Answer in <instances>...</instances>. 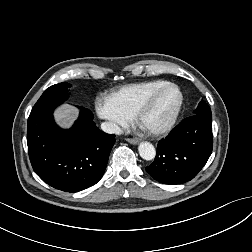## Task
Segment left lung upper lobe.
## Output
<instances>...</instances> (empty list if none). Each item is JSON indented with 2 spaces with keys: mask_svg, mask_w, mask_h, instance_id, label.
<instances>
[{
  "mask_svg": "<svg viewBox=\"0 0 252 252\" xmlns=\"http://www.w3.org/2000/svg\"><path fill=\"white\" fill-rule=\"evenodd\" d=\"M194 115H207L212 116L211 110L205 101H201L194 111Z\"/></svg>",
  "mask_w": 252,
  "mask_h": 252,
  "instance_id": "left-lung-upper-lobe-1",
  "label": "left lung upper lobe"
}]
</instances>
